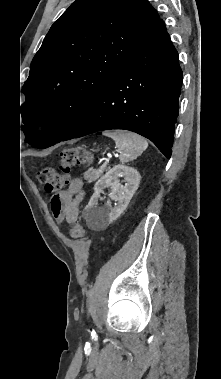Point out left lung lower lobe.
<instances>
[{
  "instance_id": "left-lung-lower-lobe-1",
  "label": "left lung lower lobe",
  "mask_w": 221,
  "mask_h": 379,
  "mask_svg": "<svg viewBox=\"0 0 221 379\" xmlns=\"http://www.w3.org/2000/svg\"><path fill=\"white\" fill-rule=\"evenodd\" d=\"M182 70L162 20L61 140L125 129L150 139L167 157L178 116Z\"/></svg>"
}]
</instances>
